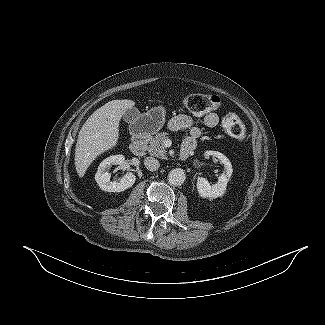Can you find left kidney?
Returning <instances> with one entry per match:
<instances>
[{
	"mask_svg": "<svg viewBox=\"0 0 325 325\" xmlns=\"http://www.w3.org/2000/svg\"><path fill=\"white\" fill-rule=\"evenodd\" d=\"M206 156L211 155L212 157L218 158V160L224 164V171L218 177V182L211 185L205 178H197V191L199 195L203 198L215 199L222 197L226 192L227 184L232 175L233 169L230 160L218 151H207L205 152Z\"/></svg>",
	"mask_w": 325,
	"mask_h": 325,
	"instance_id": "5707ae66",
	"label": "left kidney"
}]
</instances>
